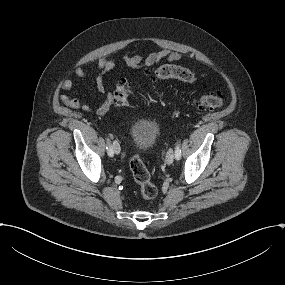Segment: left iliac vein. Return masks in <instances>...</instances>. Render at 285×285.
I'll return each instance as SVG.
<instances>
[{"instance_id": "4c4485c4", "label": "left iliac vein", "mask_w": 285, "mask_h": 285, "mask_svg": "<svg viewBox=\"0 0 285 285\" xmlns=\"http://www.w3.org/2000/svg\"><path fill=\"white\" fill-rule=\"evenodd\" d=\"M175 158H176V157H175ZM177 158L180 159V157H177ZM173 160H174V152H173V149L170 148V149L168 150V152H167V156H166L165 162H166V164L170 165V164L173 163Z\"/></svg>"}]
</instances>
